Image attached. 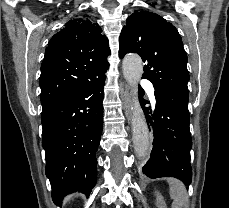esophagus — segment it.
<instances>
[{"instance_id": "obj_1", "label": "esophagus", "mask_w": 229, "mask_h": 208, "mask_svg": "<svg viewBox=\"0 0 229 208\" xmlns=\"http://www.w3.org/2000/svg\"><path fill=\"white\" fill-rule=\"evenodd\" d=\"M123 103H124L125 116L128 122L130 123L132 118V102H131L129 85H125V91L123 93Z\"/></svg>"}]
</instances>
